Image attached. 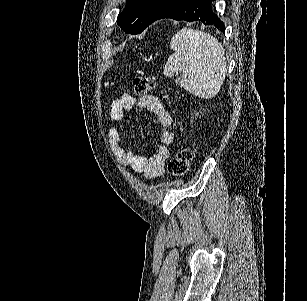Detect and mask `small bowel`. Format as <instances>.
<instances>
[{
  "mask_svg": "<svg viewBox=\"0 0 307 301\" xmlns=\"http://www.w3.org/2000/svg\"><path fill=\"white\" fill-rule=\"evenodd\" d=\"M136 105L156 116L160 139L157 153L152 157L134 153L132 149L121 143L120 132L115 127L108 129V142L113 155L124 167L135 173H141L148 179H154L164 173L169 149L173 144L174 137L170 129L172 118L158 97L143 95L136 99L128 93L122 94L111 102L110 116L114 121L122 122L125 118V112L133 109Z\"/></svg>",
  "mask_w": 307,
  "mask_h": 301,
  "instance_id": "c3829d8e",
  "label": "small bowel"
}]
</instances>
